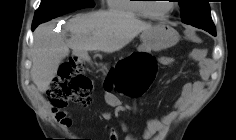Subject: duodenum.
<instances>
[{"instance_id":"obj_1","label":"duodenum","mask_w":236,"mask_h":140,"mask_svg":"<svg viewBox=\"0 0 236 140\" xmlns=\"http://www.w3.org/2000/svg\"><path fill=\"white\" fill-rule=\"evenodd\" d=\"M80 55H81V56H84V54H83V53H81Z\"/></svg>"}]
</instances>
